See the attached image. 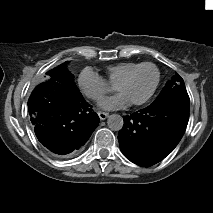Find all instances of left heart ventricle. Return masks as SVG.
Here are the masks:
<instances>
[{"label":"left heart ventricle","mask_w":213,"mask_h":213,"mask_svg":"<svg viewBox=\"0 0 213 213\" xmlns=\"http://www.w3.org/2000/svg\"><path fill=\"white\" fill-rule=\"evenodd\" d=\"M154 80V70L150 67H144L134 73L128 81L118 85L115 90L123 94L129 102L136 101L149 93Z\"/></svg>","instance_id":"b2bd125f"}]
</instances>
